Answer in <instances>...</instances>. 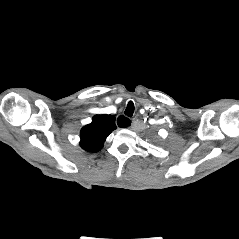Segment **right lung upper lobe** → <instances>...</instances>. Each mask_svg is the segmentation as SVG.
I'll return each mask as SVG.
<instances>
[{
    "label": "right lung upper lobe",
    "mask_w": 239,
    "mask_h": 239,
    "mask_svg": "<svg viewBox=\"0 0 239 239\" xmlns=\"http://www.w3.org/2000/svg\"><path fill=\"white\" fill-rule=\"evenodd\" d=\"M114 129H116L114 116L95 115L92 122L80 132L81 147L89 152H98Z\"/></svg>",
    "instance_id": "obj_1"
}]
</instances>
